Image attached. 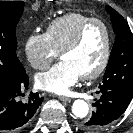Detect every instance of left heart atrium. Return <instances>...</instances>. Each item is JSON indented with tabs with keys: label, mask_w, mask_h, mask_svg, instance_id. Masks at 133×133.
I'll return each mask as SVG.
<instances>
[{
	"label": "left heart atrium",
	"mask_w": 133,
	"mask_h": 133,
	"mask_svg": "<svg viewBox=\"0 0 133 133\" xmlns=\"http://www.w3.org/2000/svg\"><path fill=\"white\" fill-rule=\"evenodd\" d=\"M80 77L81 74L75 66L62 59L49 70L37 74L35 83L41 90L54 94H65L77 83Z\"/></svg>",
	"instance_id": "obj_1"
}]
</instances>
